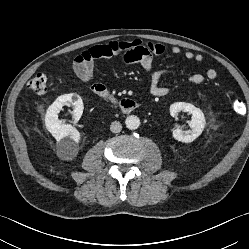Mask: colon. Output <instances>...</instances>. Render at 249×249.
Returning a JSON list of instances; mask_svg holds the SVG:
<instances>
[{
	"mask_svg": "<svg viewBox=\"0 0 249 249\" xmlns=\"http://www.w3.org/2000/svg\"><path fill=\"white\" fill-rule=\"evenodd\" d=\"M47 83V74L45 72H40L28 81L27 88L33 93L42 94L47 90ZM232 109L236 114H243L246 107L241 99H235L232 103Z\"/></svg>",
	"mask_w": 249,
	"mask_h": 249,
	"instance_id": "obj_1",
	"label": "colon"
}]
</instances>
